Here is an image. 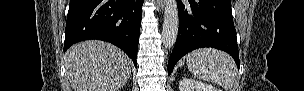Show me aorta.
Instances as JSON below:
<instances>
[{
	"label": "aorta",
	"instance_id": "obj_1",
	"mask_svg": "<svg viewBox=\"0 0 304 91\" xmlns=\"http://www.w3.org/2000/svg\"><path fill=\"white\" fill-rule=\"evenodd\" d=\"M179 27L178 8L176 0H165L162 41L166 49L174 47Z\"/></svg>",
	"mask_w": 304,
	"mask_h": 91
}]
</instances>
